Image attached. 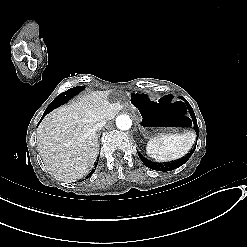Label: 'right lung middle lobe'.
<instances>
[{
    "mask_svg": "<svg viewBox=\"0 0 247 247\" xmlns=\"http://www.w3.org/2000/svg\"><path fill=\"white\" fill-rule=\"evenodd\" d=\"M83 89L82 86H78V87H74L71 88L63 93H61V97L62 96H68L67 100H69L71 97H73L74 95H76L78 92H80ZM58 106H54V103H50V105L47 107L46 110H48L49 112H51L52 110H54L55 108H57Z\"/></svg>",
    "mask_w": 247,
    "mask_h": 247,
    "instance_id": "1",
    "label": "right lung middle lobe"
}]
</instances>
